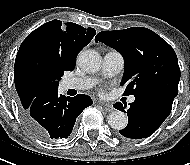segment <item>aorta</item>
I'll list each match as a JSON object with an SVG mask.
<instances>
[{"instance_id": "obj_1", "label": "aorta", "mask_w": 190, "mask_h": 165, "mask_svg": "<svg viewBox=\"0 0 190 165\" xmlns=\"http://www.w3.org/2000/svg\"><path fill=\"white\" fill-rule=\"evenodd\" d=\"M80 68L87 73H95L100 69L101 57L94 50L82 51L77 58ZM109 125L116 130L124 129L127 126L128 119L125 113L115 110L108 116Z\"/></svg>"}]
</instances>
